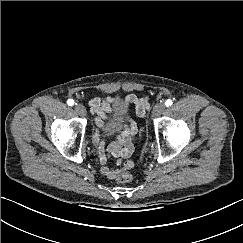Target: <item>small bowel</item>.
Returning <instances> with one entry per match:
<instances>
[{"instance_id":"c3829d8e","label":"small bowel","mask_w":243,"mask_h":243,"mask_svg":"<svg viewBox=\"0 0 243 243\" xmlns=\"http://www.w3.org/2000/svg\"><path fill=\"white\" fill-rule=\"evenodd\" d=\"M120 97H95L89 101L91 113L95 117L97 128H102L105 122L112 116L111 104L119 100ZM126 106L133 104L136 115L143 117L149 109V101L146 97H138L135 94H129L123 98ZM126 115V123L123 125V131L117 136L116 141L107 149L104 141L96 131L94 141L97 145L99 161L101 163V172L108 179H116L124 171L125 163L121 166L122 160L130 157L135 148V137L138 133L136 123L131 116ZM108 158H114L117 162V168H111L107 165Z\"/></svg>"}]
</instances>
